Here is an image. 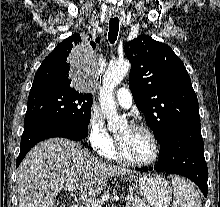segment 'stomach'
<instances>
[{
	"mask_svg": "<svg viewBox=\"0 0 220 207\" xmlns=\"http://www.w3.org/2000/svg\"><path fill=\"white\" fill-rule=\"evenodd\" d=\"M128 181L142 199L153 207H167L170 204L171 186L162 176L158 174L130 176Z\"/></svg>",
	"mask_w": 220,
	"mask_h": 207,
	"instance_id": "1",
	"label": "stomach"
}]
</instances>
